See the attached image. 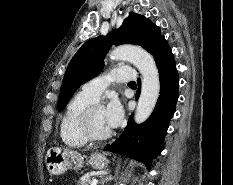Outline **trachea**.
Here are the masks:
<instances>
[{
  "instance_id": "trachea-1",
  "label": "trachea",
  "mask_w": 233,
  "mask_h": 185,
  "mask_svg": "<svg viewBox=\"0 0 233 185\" xmlns=\"http://www.w3.org/2000/svg\"><path fill=\"white\" fill-rule=\"evenodd\" d=\"M129 84H136L134 81L129 82Z\"/></svg>"
}]
</instances>
